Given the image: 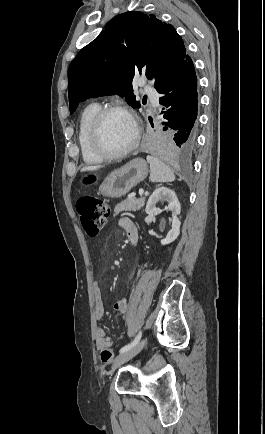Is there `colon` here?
<instances>
[{
	"label": "colon",
	"instance_id": "colon-1",
	"mask_svg": "<svg viewBox=\"0 0 265 434\" xmlns=\"http://www.w3.org/2000/svg\"><path fill=\"white\" fill-rule=\"evenodd\" d=\"M91 177H96V168H91ZM80 218L82 228L89 238H96L108 219V204L103 199L94 197H81L74 204ZM99 358L104 364H110L116 354L113 348L101 346Z\"/></svg>",
	"mask_w": 265,
	"mask_h": 434
}]
</instances>
